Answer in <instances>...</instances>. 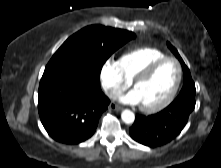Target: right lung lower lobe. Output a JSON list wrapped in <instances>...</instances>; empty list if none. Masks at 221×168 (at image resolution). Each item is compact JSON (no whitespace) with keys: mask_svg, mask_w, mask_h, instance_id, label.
<instances>
[{"mask_svg":"<svg viewBox=\"0 0 221 168\" xmlns=\"http://www.w3.org/2000/svg\"><path fill=\"white\" fill-rule=\"evenodd\" d=\"M99 76L82 64L46 66L38 90V112L54 140L78 144L94 134L110 103L100 89Z\"/></svg>","mask_w":221,"mask_h":168,"instance_id":"98d812e1","label":"right lung lower lobe"}]
</instances>
